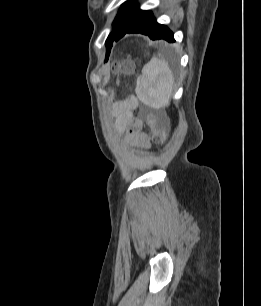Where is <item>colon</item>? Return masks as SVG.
Instances as JSON below:
<instances>
[{
  "instance_id": "obj_1",
  "label": "colon",
  "mask_w": 261,
  "mask_h": 306,
  "mask_svg": "<svg viewBox=\"0 0 261 306\" xmlns=\"http://www.w3.org/2000/svg\"><path fill=\"white\" fill-rule=\"evenodd\" d=\"M121 70L124 71V72H129L131 70V65L129 63H123L121 66H120ZM155 139L157 141H160L162 139V134L161 133H157L156 136H155Z\"/></svg>"
}]
</instances>
